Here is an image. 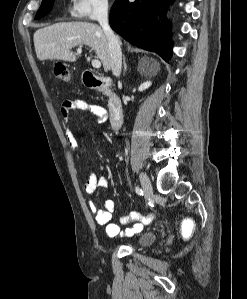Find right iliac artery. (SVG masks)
Listing matches in <instances>:
<instances>
[{
    "label": "right iliac artery",
    "mask_w": 247,
    "mask_h": 299,
    "mask_svg": "<svg viewBox=\"0 0 247 299\" xmlns=\"http://www.w3.org/2000/svg\"><path fill=\"white\" fill-rule=\"evenodd\" d=\"M135 191H136V193L138 194V195H143L144 193H143V190L141 189V188H139V187H136L135 188Z\"/></svg>",
    "instance_id": "obj_1"
}]
</instances>
